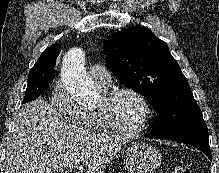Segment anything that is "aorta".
<instances>
[{"instance_id":"762f6f07","label":"aorta","mask_w":219,"mask_h":173,"mask_svg":"<svg viewBox=\"0 0 219 173\" xmlns=\"http://www.w3.org/2000/svg\"><path fill=\"white\" fill-rule=\"evenodd\" d=\"M62 79L66 90L76 100L92 98L96 89L85 69V58L80 48L70 50L63 60Z\"/></svg>"}]
</instances>
